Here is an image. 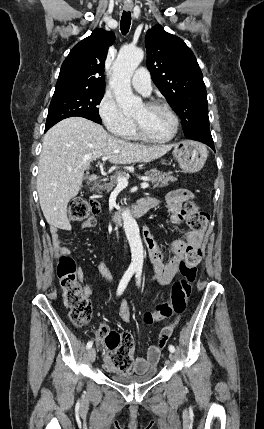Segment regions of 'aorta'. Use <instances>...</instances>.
<instances>
[{"instance_id": "obj_1", "label": "aorta", "mask_w": 264, "mask_h": 429, "mask_svg": "<svg viewBox=\"0 0 264 429\" xmlns=\"http://www.w3.org/2000/svg\"><path fill=\"white\" fill-rule=\"evenodd\" d=\"M144 53L137 47H123L113 64V74L110 85L115 99L125 114L134 112L142 106V99L133 94L131 77L143 60ZM123 227L131 249L132 269H142L144 253L140 238L139 227L129 210L122 213Z\"/></svg>"}]
</instances>
